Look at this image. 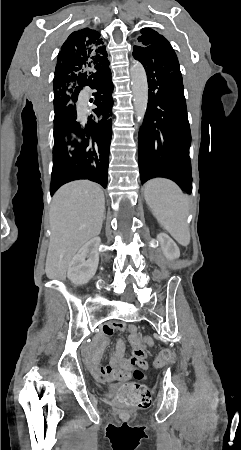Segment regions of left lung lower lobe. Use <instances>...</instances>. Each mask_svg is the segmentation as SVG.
I'll return each mask as SVG.
<instances>
[{"instance_id": "0a47b994", "label": "left lung lower lobe", "mask_w": 241, "mask_h": 450, "mask_svg": "<svg viewBox=\"0 0 241 450\" xmlns=\"http://www.w3.org/2000/svg\"><path fill=\"white\" fill-rule=\"evenodd\" d=\"M133 56L143 64L149 87L138 137L141 183L165 177L191 193V134L177 56L170 44L156 55L133 49Z\"/></svg>"}]
</instances>
